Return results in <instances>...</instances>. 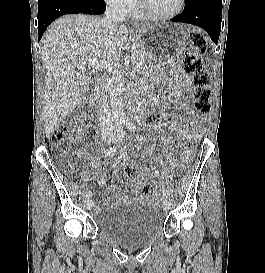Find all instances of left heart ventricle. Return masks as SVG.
Returning <instances> with one entry per match:
<instances>
[{
  "mask_svg": "<svg viewBox=\"0 0 265 273\" xmlns=\"http://www.w3.org/2000/svg\"><path fill=\"white\" fill-rule=\"evenodd\" d=\"M148 11L154 14H168L173 12L179 5L180 0H144Z\"/></svg>",
  "mask_w": 265,
  "mask_h": 273,
  "instance_id": "b2bd125f",
  "label": "left heart ventricle"
}]
</instances>
